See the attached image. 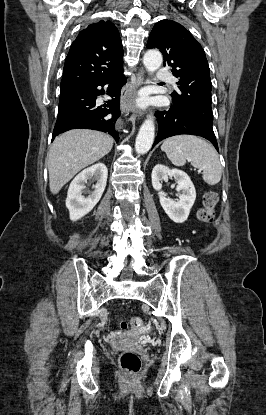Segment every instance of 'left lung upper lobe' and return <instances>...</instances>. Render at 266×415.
Masks as SVG:
<instances>
[{
	"instance_id": "5c2ea615",
	"label": "left lung upper lobe",
	"mask_w": 266,
	"mask_h": 415,
	"mask_svg": "<svg viewBox=\"0 0 266 415\" xmlns=\"http://www.w3.org/2000/svg\"><path fill=\"white\" fill-rule=\"evenodd\" d=\"M147 48H157L164 66L179 78L178 91L171 96L173 105L184 115L213 129L211 79L205 52L198 41L179 23L161 20L153 27Z\"/></svg>"
}]
</instances>
